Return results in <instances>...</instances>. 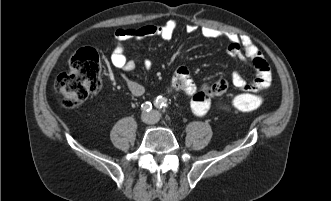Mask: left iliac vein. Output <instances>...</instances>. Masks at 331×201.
<instances>
[{"label": "left iliac vein", "instance_id": "obj_1", "mask_svg": "<svg viewBox=\"0 0 331 201\" xmlns=\"http://www.w3.org/2000/svg\"><path fill=\"white\" fill-rule=\"evenodd\" d=\"M152 114L155 117V119H157V120L159 119L160 116H159V113L157 111H153Z\"/></svg>", "mask_w": 331, "mask_h": 201}]
</instances>
